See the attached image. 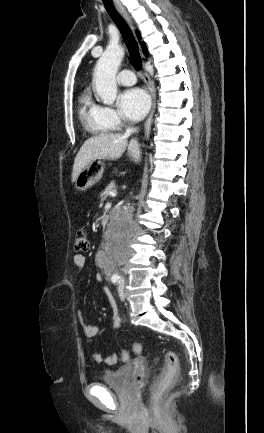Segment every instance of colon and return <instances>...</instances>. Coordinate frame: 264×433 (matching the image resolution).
I'll return each instance as SVG.
<instances>
[{
	"instance_id": "obj_1",
	"label": "colon",
	"mask_w": 264,
	"mask_h": 433,
	"mask_svg": "<svg viewBox=\"0 0 264 433\" xmlns=\"http://www.w3.org/2000/svg\"><path fill=\"white\" fill-rule=\"evenodd\" d=\"M89 249L88 235L84 230H79L76 233L74 240V250L77 252H86ZM132 349L136 354L141 353L142 345L139 342H134ZM130 358L129 352L124 350L121 353V359L126 362ZM164 368L159 377V383L163 387H169L173 385L178 377L179 373V360L176 353L172 350H166Z\"/></svg>"
}]
</instances>
